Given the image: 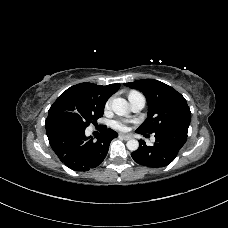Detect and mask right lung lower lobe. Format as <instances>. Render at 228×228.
Segmentation results:
<instances>
[{
    "mask_svg": "<svg viewBox=\"0 0 228 228\" xmlns=\"http://www.w3.org/2000/svg\"><path fill=\"white\" fill-rule=\"evenodd\" d=\"M49 143L59 159L70 169L88 171L99 166L107 155L112 139L118 134L102 127L96 141L85 136V129L68 123H46Z\"/></svg>",
    "mask_w": 228,
    "mask_h": 228,
    "instance_id": "1",
    "label": "right lung lower lobe"
}]
</instances>
